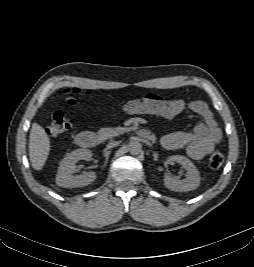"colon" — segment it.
Returning a JSON list of instances; mask_svg holds the SVG:
<instances>
[{"instance_id": "colon-1", "label": "colon", "mask_w": 254, "mask_h": 267, "mask_svg": "<svg viewBox=\"0 0 254 267\" xmlns=\"http://www.w3.org/2000/svg\"><path fill=\"white\" fill-rule=\"evenodd\" d=\"M79 90H68L67 91V102L70 105L77 103L76 95ZM73 126V120L68 118L64 113L58 111L52 115L51 122L47 128V133L51 137H57L67 132ZM209 166L213 169H218L224 162V157L221 152L215 151L209 157Z\"/></svg>"}]
</instances>
